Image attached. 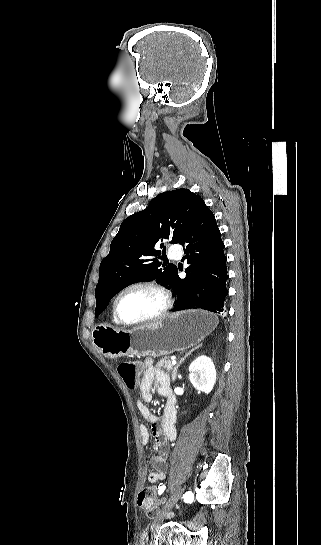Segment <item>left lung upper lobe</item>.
<instances>
[{"instance_id": "left-lung-upper-lobe-1", "label": "left lung upper lobe", "mask_w": 321, "mask_h": 545, "mask_svg": "<svg viewBox=\"0 0 321 545\" xmlns=\"http://www.w3.org/2000/svg\"><path fill=\"white\" fill-rule=\"evenodd\" d=\"M199 204L204 200L188 189L167 191L122 222L100 265L95 316L114 295L133 283L158 279L170 284L176 266H166L153 256L165 254V247L163 251L156 249L163 248L167 239L173 244L181 241Z\"/></svg>"}]
</instances>
